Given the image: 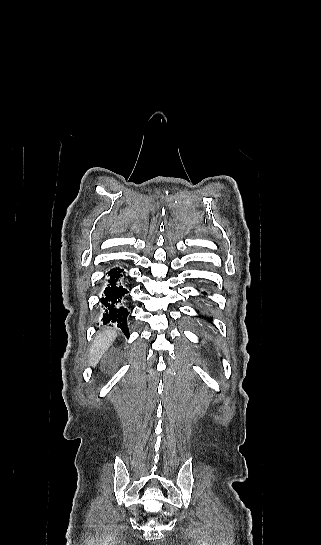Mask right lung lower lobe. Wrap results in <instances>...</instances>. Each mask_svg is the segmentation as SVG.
<instances>
[{
    "label": "right lung lower lobe",
    "instance_id": "obj_1",
    "mask_svg": "<svg viewBox=\"0 0 321 545\" xmlns=\"http://www.w3.org/2000/svg\"><path fill=\"white\" fill-rule=\"evenodd\" d=\"M122 271L123 270L117 267L108 272V275L110 276V286L105 289V297L101 298V303L106 308L105 313L103 314V324L108 322H117L119 323L117 326H119L128 335V328L126 325L128 311L124 307H115L122 296L128 292L122 286H116V282L121 276Z\"/></svg>",
    "mask_w": 321,
    "mask_h": 545
}]
</instances>
